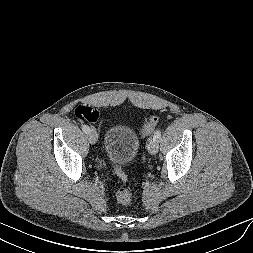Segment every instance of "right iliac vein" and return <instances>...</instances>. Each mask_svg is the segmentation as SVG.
Segmentation results:
<instances>
[{
  "instance_id": "right-iliac-vein-1",
  "label": "right iliac vein",
  "mask_w": 253,
  "mask_h": 253,
  "mask_svg": "<svg viewBox=\"0 0 253 253\" xmlns=\"http://www.w3.org/2000/svg\"><path fill=\"white\" fill-rule=\"evenodd\" d=\"M88 140L91 144H95L98 140V134L97 132L92 129L87 133Z\"/></svg>"
}]
</instances>
